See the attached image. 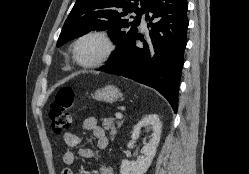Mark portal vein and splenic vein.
I'll return each instance as SVG.
<instances>
[{
  "instance_id": "1",
  "label": "portal vein and splenic vein",
  "mask_w": 249,
  "mask_h": 174,
  "mask_svg": "<svg viewBox=\"0 0 249 174\" xmlns=\"http://www.w3.org/2000/svg\"><path fill=\"white\" fill-rule=\"evenodd\" d=\"M115 117H116V119H122L123 118L121 113H116Z\"/></svg>"
}]
</instances>
